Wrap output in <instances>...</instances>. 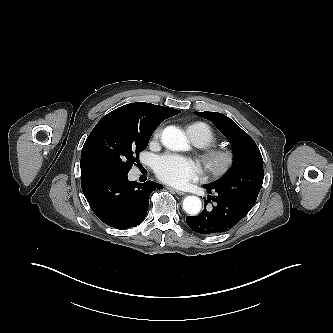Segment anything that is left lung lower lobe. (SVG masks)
<instances>
[{
    "mask_svg": "<svg viewBox=\"0 0 333 333\" xmlns=\"http://www.w3.org/2000/svg\"><path fill=\"white\" fill-rule=\"evenodd\" d=\"M203 187L210 194L212 191L216 193L215 197L209 196L216 204L211 211L205 207L198 216H187L188 226L199 234L214 235L230 230L247 215L254 205L245 198L214 190L208 185Z\"/></svg>",
    "mask_w": 333,
    "mask_h": 333,
    "instance_id": "1",
    "label": "left lung lower lobe"
}]
</instances>
